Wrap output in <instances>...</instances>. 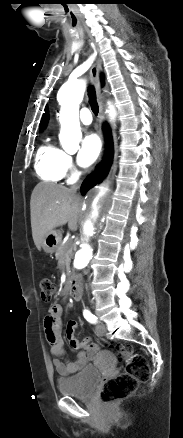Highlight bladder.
<instances>
[{"mask_svg": "<svg viewBox=\"0 0 183 438\" xmlns=\"http://www.w3.org/2000/svg\"><path fill=\"white\" fill-rule=\"evenodd\" d=\"M101 380V375L95 367H86L78 374L61 378L57 382L60 394L79 398H90Z\"/></svg>", "mask_w": 183, "mask_h": 438, "instance_id": "1", "label": "bladder"}]
</instances>
